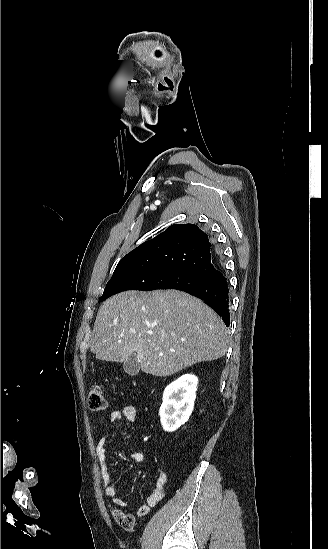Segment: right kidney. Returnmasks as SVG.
Returning a JSON list of instances; mask_svg holds the SVG:
<instances>
[{"label": "right kidney", "mask_w": 328, "mask_h": 549, "mask_svg": "<svg viewBox=\"0 0 328 549\" xmlns=\"http://www.w3.org/2000/svg\"><path fill=\"white\" fill-rule=\"evenodd\" d=\"M197 385L195 375H182L164 389L159 411L164 431L173 433L188 421L193 411Z\"/></svg>", "instance_id": "ca27d5eb"}]
</instances>
